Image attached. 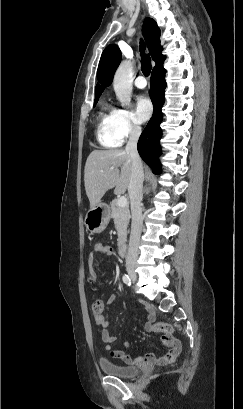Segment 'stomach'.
Here are the masks:
<instances>
[{"instance_id": "0dacf381", "label": "stomach", "mask_w": 243, "mask_h": 409, "mask_svg": "<svg viewBox=\"0 0 243 409\" xmlns=\"http://www.w3.org/2000/svg\"><path fill=\"white\" fill-rule=\"evenodd\" d=\"M110 220V209L107 204L99 203L90 208L85 216L84 224L92 233H100L107 227Z\"/></svg>"}]
</instances>
